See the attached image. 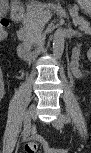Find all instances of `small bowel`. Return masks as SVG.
I'll list each match as a JSON object with an SVG mask.
<instances>
[{"label":"small bowel","mask_w":91,"mask_h":153,"mask_svg":"<svg viewBox=\"0 0 91 153\" xmlns=\"http://www.w3.org/2000/svg\"><path fill=\"white\" fill-rule=\"evenodd\" d=\"M7 35L6 30L1 28L0 29V37L1 38H5ZM36 140H43V138L41 136H35ZM52 152H58V153H65L66 150L63 149H57V150H52Z\"/></svg>","instance_id":"c3829d8e"}]
</instances>
